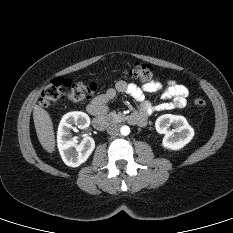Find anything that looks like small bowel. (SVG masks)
Segmentation results:
<instances>
[{
	"label": "small bowel",
	"instance_id": "small-bowel-1",
	"mask_svg": "<svg viewBox=\"0 0 233 233\" xmlns=\"http://www.w3.org/2000/svg\"><path fill=\"white\" fill-rule=\"evenodd\" d=\"M126 93L139 103L140 113L149 116L156 112H163L177 108H183L187 103L188 89L174 80H168L165 85L160 82H149L138 86L126 81H118L114 89L107 90L104 94L95 97L87 109L91 114H104L107 111V103L116 93ZM161 92L165 102L152 105L146 100L145 93Z\"/></svg>",
	"mask_w": 233,
	"mask_h": 233
}]
</instances>
